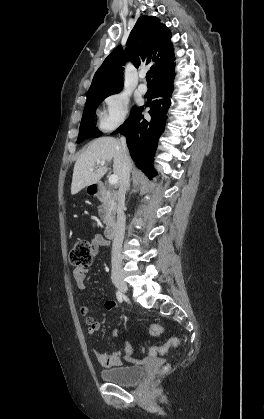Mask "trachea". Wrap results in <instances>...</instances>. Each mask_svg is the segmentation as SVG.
Returning <instances> with one entry per match:
<instances>
[{"mask_svg": "<svg viewBox=\"0 0 264 419\" xmlns=\"http://www.w3.org/2000/svg\"><path fill=\"white\" fill-rule=\"evenodd\" d=\"M146 80H147L148 84H151V82H150V80H151V73L150 72H148L146 74Z\"/></svg>", "mask_w": 264, "mask_h": 419, "instance_id": "obj_1", "label": "trachea"}]
</instances>
